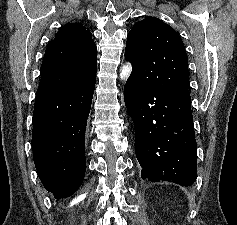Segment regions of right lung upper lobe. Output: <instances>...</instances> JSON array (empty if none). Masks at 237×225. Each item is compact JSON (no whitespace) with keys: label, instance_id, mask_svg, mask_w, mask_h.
<instances>
[{"label":"right lung upper lobe","instance_id":"1","mask_svg":"<svg viewBox=\"0 0 237 225\" xmlns=\"http://www.w3.org/2000/svg\"><path fill=\"white\" fill-rule=\"evenodd\" d=\"M96 45L80 23L63 26L47 46L37 95L75 90L96 79Z\"/></svg>","mask_w":237,"mask_h":225}]
</instances>
